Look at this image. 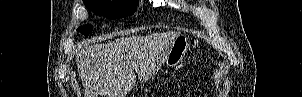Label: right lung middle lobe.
<instances>
[{
  "mask_svg": "<svg viewBox=\"0 0 302 97\" xmlns=\"http://www.w3.org/2000/svg\"><path fill=\"white\" fill-rule=\"evenodd\" d=\"M83 2L96 15L111 19L133 14L138 5V0H83ZM92 30V25H84L77 29L84 35H88Z\"/></svg>",
  "mask_w": 302,
  "mask_h": 97,
  "instance_id": "right-lung-middle-lobe-1",
  "label": "right lung middle lobe"
}]
</instances>
